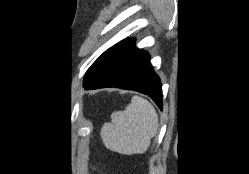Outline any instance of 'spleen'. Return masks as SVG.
I'll return each mask as SVG.
<instances>
[{
	"instance_id": "spleen-1",
	"label": "spleen",
	"mask_w": 249,
	"mask_h": 174,
	"mask_svg": "<svg viewBox=\"0 0 249 174\" xmlns=\"http://www.w3.org/2000/svg\"><path fill=\"white\" fill-rule=\"evenodd\" d=\"M158 129V115L152 104L133 96L124 111H115L101 129L104 145L111 151L131 155L147 151Z\"/></svg>"
}]
</instances>
